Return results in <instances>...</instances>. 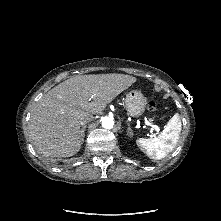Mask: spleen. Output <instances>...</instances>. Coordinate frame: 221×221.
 Masks as SVG:
<instances>
[{"label":"spleen","mask_w":221,"mask_h":221,"mask_svg":"<svg viewBox=\"0 0 221 221\" xmlns=\"http://www.w3.org/2000/svg\"><path fill=\"white\" fill-rule=\"evenodd\" d=\"M182 129L179 114H175L167 123L158 137L147 139L139 138L137 145L150 159L160 160L171 152L178 142Z\"/></svg>","instance_id":"1"}]
</instances>
